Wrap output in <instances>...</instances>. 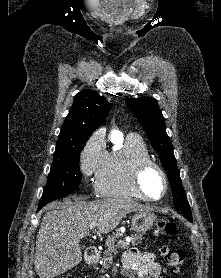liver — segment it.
<instances>
[{"label":"liver","instance_id":"liver-1","mask_svg":"<svg viewBox=\"0 0 221 278\" xmlns=\"http://www.w3.org/2000/svg\"><path fill=\"white\" fill-rule=\"evenodd\" d=\"M151 210L130 198H107L97 201H66L58 210L45 212L36 240L35 271L40 278L61 275L82 260L80 240L90 224L97 222L99 233L114 230L130 212Z\"/></svg>","mask_w":221,"mask_h":278}]
</instances>
